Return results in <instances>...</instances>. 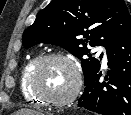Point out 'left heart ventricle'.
<instances>
[{
  "label": "left heart ventricle",
  "mask_w": 131,
  "mask_h": 115,
  "mask_svg": "<svg viewBox=\"0 0 131 115\" xmlns=\"http://www.w3.org/2000/svg\"><path fill=\"white\" fill-rule=\"evenodd\" d=\"M75 74L72 67L60 60L47 63L38 76L39 89L52 98L66 97L74 87Z\"/></svg>",
  "instance_id": "b2bd125f"
}]
</instances>
